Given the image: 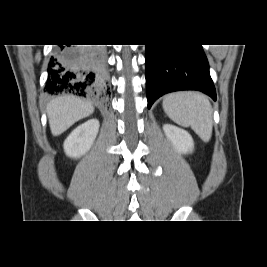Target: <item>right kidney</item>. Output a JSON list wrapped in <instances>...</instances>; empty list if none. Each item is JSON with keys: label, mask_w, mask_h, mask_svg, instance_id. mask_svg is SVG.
I'll return each mask as SVG.
<instances>
[{"label": "right kidney", "mask_w": 267, "mask_h": 267, "mask_svg": "<svg viewBox=\"0 0 267 267\" xmlns=\"http://www.w3.org/2000/svg\"><path fill=\"white\" fill-rule=\"evenodd\" d=\"M99 126L97 119H91L74 129L63 144L66 155L71 158L83 156L91 148Z\"/></svg>", "instance_id": "right-kidney-1"}]
</instances>
